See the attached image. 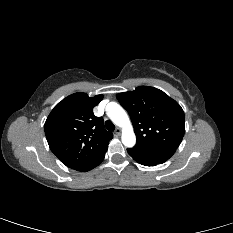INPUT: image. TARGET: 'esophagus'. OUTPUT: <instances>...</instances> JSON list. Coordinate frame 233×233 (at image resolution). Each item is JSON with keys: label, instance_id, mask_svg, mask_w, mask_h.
<instances>
[{"label": "esophagus", "instance_id": "esophagus-1", "mask_svg": "<svg viewBox=\"0 0 233 233\" xmlns=\"http://www.w3.org/2000/svg\"><path fill=\"white\" fill-rule=\"evenodd\" d=\"M121 128L117 127L116 130H115V135L116 136H119L121 134Z\"/></svg>", "mask_w": 233, "mask_h": 233}]
</instances>
